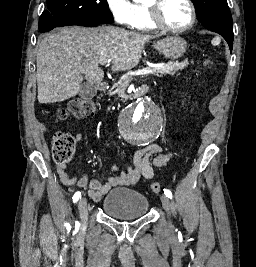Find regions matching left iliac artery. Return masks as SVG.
Masks as SVG:
<instances>
[{
  "mask_svg": "<svg viewBox=\"0 0 256 267\" xmlns=\"http://www.w3.org/2000/svg\"><path fill=\"white\" fill-rule=\"evenodd\" d=\"M164 194L165 196H167L168 198L172 199V193L170 190L168 189H164Z\"/></svg>",
  "mask_w": 256,
  "mask_h": 267,
  "instance_id": "obj_1",
  "label": "left iliac artery"
}]
</instances>
